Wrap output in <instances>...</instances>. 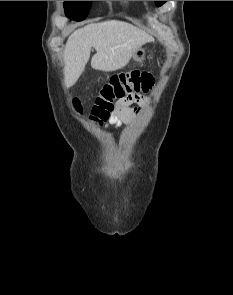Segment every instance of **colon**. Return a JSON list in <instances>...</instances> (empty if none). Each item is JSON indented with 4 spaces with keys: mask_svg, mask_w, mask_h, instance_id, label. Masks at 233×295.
<instances>
[{
    "mask_svg": "<svg viewBox=\"0 0 233 295\" xmlns=\"http://www.w3.org/2000/svg\"><path fill=\"white\" fill-rule=\"evenodd\" d=\"M153 84L152 75L142 71H131L112 76L96 97L90 119L103 123L113 112L116 100L140 97L148 92ZM73 106L76 111H81L79 100L75 99Z\"/></svg>",
    "mask_w": 233,
    "mask_h": 295,
    "instance_id": "5ec220e1",
    "label": "colon"
}]
</instances>
